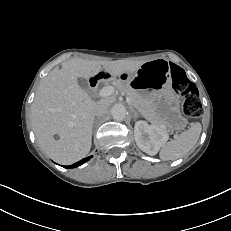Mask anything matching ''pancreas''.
<instances>
[{
  "mask_svg": "<svg viewBox=\"0 0 231 231\" xmlns=\"http://www.w3.org/2000/svg\"><path fill=\"white\" fill-rule=\"evenodd\" d=\"M113 86L115 89L126 94L131 99V105L138 109L142 115L152 124L163 127L157 114L153 111L150 101L142 97L136 90L129 84L121 80H114Z\"/></svg>",
  "mask_w": 231,
  "mask_h": 231,
  "instance_id": "1",
  "label": "pancreas"
}]
</instances>
